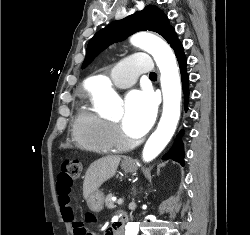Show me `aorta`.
<instances>
[{"instance_id":"aorta-1","label":"aorta","mask_w":250,"mask_h":235,"mask_svg":"<svg viewBox=\"0 0 250 235\" xmlns=\"http://www.w3.org/2000/svg\"><path fill=\"white\" fill-rule=\"evenodd\" d=\"M130 42L150 53L161 73L163 112L158 127L147 140L142 154L143 160L149 162L162 152L176 130L180 118L181 82L175 55L165 41L155 35L140 32L133 35ZM87 86L94 98L101 97L110 103L112 113L121 112L120 99L110 89V81L105 75L92 78ZM138 232V222L127 223L125 235H138Z\"/></svg>"}]
</instances>
